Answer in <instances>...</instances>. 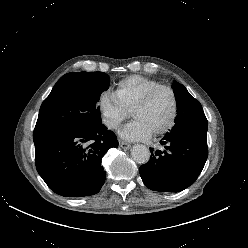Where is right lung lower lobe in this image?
Listing matches in <instances>:
<instances>
[{"label":"right lung lower lobe","mask_w":248,"mask_h":248,"mask_svg":"<svg viewBox=\"0 0 248 248\" xmlns=\"http://www.w3.org/2000/svg\"><path fill=\"white\" fill-rule=\"evenodd\" d=\"M33 141L39 175L52 191L65 197L98 193L106 178L102 157L118 147L116 135L104 125H36Z\"/></svg>","instance_id":"obj_1"}]
</instances>
